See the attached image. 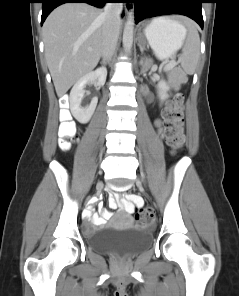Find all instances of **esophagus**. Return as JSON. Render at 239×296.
I'll return each instance as SVG.
<instances>
[{
	"instance_id": "obj_1",
	"label": "esophagus",
	"mask_w": 239,
	"mask_h": 296,
	"mask_svg": "<svg viewBox=\"0 0 239 296\" xmlns=\"http://www.w3.org/2000/svg\"><path fill=\"white\" fill-rule=\"evenodd\" d=\"M133 8H134V6L131 5L130 3L127 4V5H125V10H126V12H127L128 14H132V12H133Z\"/></svg>"
}]
</instances>
